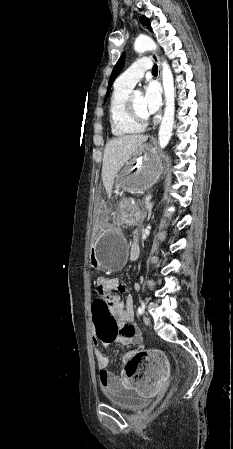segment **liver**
Returning a JSON list of instances; mask_svg holds the SVG:
<instances>
[{
  "mask_svg": "<svg viewBox=\"0 0 233 449\" xmlns=\"http://www.w3.org/2000/svg\"><path fill=\"white\" fill-rule=\"evenodd\" d=\"M147 139L148 136L142 134L122 135L106 144L103 156L102 180L108 197L112 195L114 180L118 172Z\"/></svg>",
  "mask_w": 233,
  "mask_h": 449,
  "instance_id": "liver-1",
  "label": "liver"
}]
</instances>
